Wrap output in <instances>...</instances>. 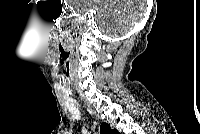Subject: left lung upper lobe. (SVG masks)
<instances>
[{"label":"left lung upper lobe","instance_id":"left-lung-upper-lobe-1","mask_svg":"<svg viewBox=\"0 0 200 134\" xmlns=\"http://www.w3.org/2000/svg\"><path fill=\"white\" fill-rule=\"evenodd\" d=\"M101 134H119L116 129H112L109 124L102 123L100 126Z\"/></svg>","mask_w":200,"mask_h":134}]
</instances>
